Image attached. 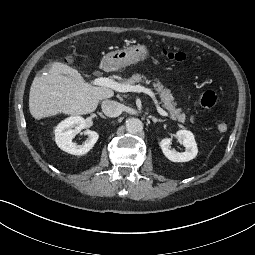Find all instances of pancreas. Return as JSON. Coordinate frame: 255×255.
<instances>
[{"instance_id": "pancreas-1", "label": "pancreas", "mask_w": 255, "mask_h": 255, "mask_svg": "<svg viewBox=\"0 0 255 255\" xmlns=\"http://www.w3.org/2000/svg\"><path fill=\"white\" fill-rule=\"evenodd\" d=\"M153 87L158 92L163 107L167 109L170 113V118L173 120H178L179 122L185 121V114L182 113L181 109L175 108L174 97L171 91L164 87V85L157 79H154ZM151 80H148L144 75L133 74L129 79L125 80L123 83L128 86H135L137 83L150 84Z\"/></svg>"}]
</instances>
